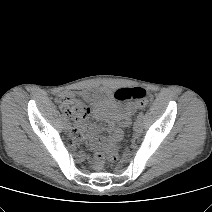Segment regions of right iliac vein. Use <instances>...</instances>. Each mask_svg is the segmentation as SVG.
<instances>
[{
    "label": "right iliac vein",
    "mask_w": 212,
    "mask_h": 212,
    "mask_svg": "<svg viewBox=\"0 0 212 212\" xmlns=\"http://www.w3.org/2000/svg\"><path fill=\"white\" fill-rule=\"evenodd\" d=\"M65 127H66L67 130H70V129H71V124H70V122L65 121Z\"/></svg>",
    "instance_id": "63e3f726"
}]
</instances>
